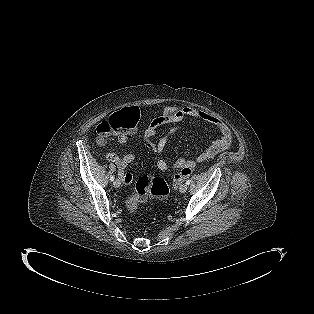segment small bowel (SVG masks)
I'll use <instances>...</instances> for the list:
<instances>
[{"label":"small bowel","mask_w":314,"mask_h":314,"mask_svg":"<svg viewBox=\"0 0 314 314\" xmlns=\"http://www.w3.org/2000/svg\"><path fill=\"white\" fill-rule=\"evenodd\" d=\"M186 119H199L205 121L214 127H216L220 133V137L214 140L205 150H203L197 157L198 162L207 161L220 152L226 150L231 145L232 132L230 127L219 120L217 117L197 110L192 107H184L182 109H177L173 107L166 108L162 114L155 117L147 126L144 132V139L148 142L151 150L158 156L157 167L161 171L168 169L167 161L162 157L165 147L167 146L170 138L180 130V126L171 127L158 141H153V137L156 135L158 130L169 124H178ZM133 134V133H132ZM131 134H121L117 135V140L120 143H125L129 140ZM98 144L104 146L106 144V139L98 138ZM106 158L115 163L121 171V178L124 183H130L132 180V175L130 173H124V169L128 163L134 159V154L132 152L125 153L122 157L116 155L113 152H108ZM195 162L187 160L183 157L178 158L174 162V167L184 168L186 166H194Z\"/></svg>","instance_id":"small-bowel-1"}]
</instances>
